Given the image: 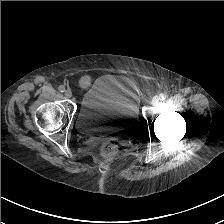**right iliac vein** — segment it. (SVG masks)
I'll list each match as a JSON object with an SVG mask.
<instances>
[{
	"label": "right iliac vein",
	"instance_id": "obj_1",
	"mask_svg": "<svg viewBox=\"0 0 224 224\" xmlns=\"http://www.w3.org/2000/svg\"><path fill=\"white\" fill-rule=\"evenodd\" d=\"M64 95H65V97L66 98H71L72 97V92H71V90H66L65 92H64Z\"/></svg>",
	"mask_w": 224,
	"mask_h": 224
}]
</instances>
